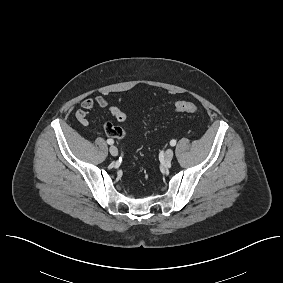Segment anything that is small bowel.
Here are the masks:
<instances>
[{
  "instance_id": "small-bowel-1",
  "label": "small bowel",
  "mask_w": 283,
  "mask_h": 283,
  "mask_svg": "<svg viewBox=\"0 0 283 283\" xmlns=\"http://www.w3.org/2000/svg\"><path fill=\"white\" fill-rule=\"evenodd\" d=\"M100 107L106 109L107 113L114 117L119 122H124L127 119V114L116 106H110L107 99L102 95H97L95 97H88L81 101V109L76 112V119L83 126L89 125V114L96 108ZM119 135L116 138L122 139L127 135L126 127H118Z\"/></svg>"
}]
</instances>
